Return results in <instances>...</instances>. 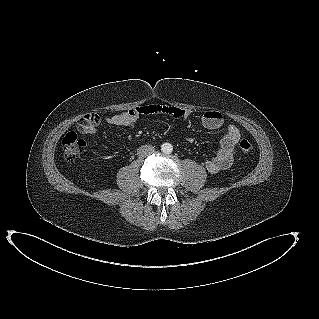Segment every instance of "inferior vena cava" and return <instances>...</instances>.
<instances>
[{
    "instance_id": "1",
    "label": "inferior vena cava",
    "mask_w": 319,
    "mask_h": 319,
    "mask_svg": "<svg viewBox=\"0 0 319 319\" xmlns=\"http://www.w3.org/2000/svg\"><path fill=\"white\" fill-rule=\"evenodd\" d=\"M155 149L152 145H143L138 149V156L141 158L147 157L154 153Z\"/></svg>"
}]
</instances>
